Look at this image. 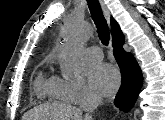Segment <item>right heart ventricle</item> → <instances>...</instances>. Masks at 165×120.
<instances>
[{"instance_id":"e07e8e85","label":"right heart ventricle","mask_w":165,"mask_h":120,"mask_svg":"<svg viewBox=\"0 0 165 120\" xmlns=\"http://www.w3.org/2000/svg\"><path fill=\"white\" fill-rule=\"evenodd\" d=\"M35 90L37 94L41 97L62 99L56 91L54 78L53 77L47 78L42 73L36 79Z\"/></svg>"}]
</instances>
